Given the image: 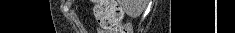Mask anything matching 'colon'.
Returning a JSON list of instances; mask_svg holds the SVG:
<instances>
[{
  "mask_svg": "<svg viewBox=\"0 0 235 33\" xmlns=\"http://www.w3.org/2000/svg\"><path fill=\"white\" fill-rule=\"evenodd\" d=\"M94 14L99 24L111 33H128L130 27L121 25L122 10L114 0H94Z\"/></svg>",
  "mask_w": 235,
  "mask_h": 33,
  "instance_id": "obj_1",
  "label": "colon"
}]
</instances>
